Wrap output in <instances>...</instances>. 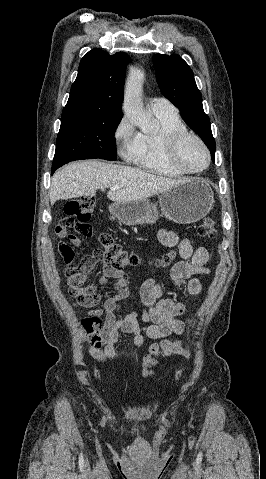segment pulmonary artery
Here are the masks:
<instances>
[{
  "label": "pulmonary artery",
  "mask_w": 266,
  "mask_h": 479,
  "mask_svg": "<svg viewBox=\"0 0 266 479\" xmlns=\"http://www.w3.org/2000/svg\"><path fill=\"white\" fill-rule=\"evenodd\" d=\"M151 108L156 113H177V109L165 98H153Z\"/></svg>",
  "instance_id": "obj_1"
}]
</instances>
